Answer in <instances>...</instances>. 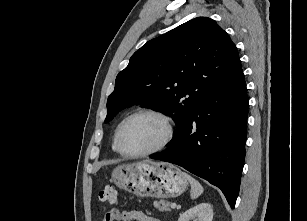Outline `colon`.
<instances>
[{"mask_svg":"<svg viewBox=\"0 0 307 221\" xmlns=\"http://www.w3.org/2000/svg\"><path fill=\"white\" fill-rule=\"evenodd\" d=\"M101 202L116 204L118 202V190L113 186H106L99 192Z\"/></svg>","mask_w":307,"mask_h":221,"instance_id":"5ec220e1","label":"colon"}]
</instances>
